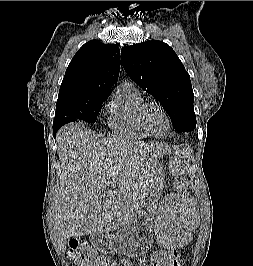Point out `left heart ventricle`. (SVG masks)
<instances>
[{
	"label": "left heart ventricle",
	"instance_id": "left-heart-ventricle-1",
	"mask_svg": "<svg viewBox=\"0 0 253 266\" xmlns=\"http://www.w3.org/2000/svg\"><path fill=\"white\" fill-rule=\"evenodd\" d=\"M146 123L156 135H164L167 131V120L164 114L156 107H150L146 113Z\"/></svg>",
	"mask_w": 253,
	"mask_h": 266
}]
</instances>
